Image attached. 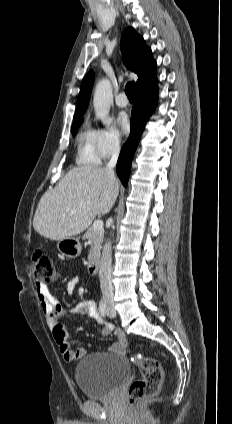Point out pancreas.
Instances as JSON below:
<instances>
[{"mask_svg": "<svg viewBox=\"0 0 232 424\" xmlns=\"http://www.w3.org/2000/svg\"><path fill=\"white\" fill-rule=\"evenodd\" d=\"M104 231L102 230H94L91 226L84 234V238L87 239L91 245V249L89 251L88 260L89 263L93 262L96 257L100 253L101 243L103 241Z\"/></svg>", "mask_w": 232, "mask_h": 424, "instance_id": "1", "label": "pancreas"}]
</instances>
